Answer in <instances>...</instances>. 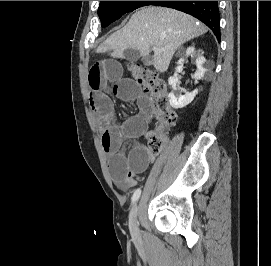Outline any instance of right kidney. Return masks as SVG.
I'll use <instances>...</instances> for the list:
<instances>
[{
	"label": "right kidney",
	"instance_id": "ca27d5eb",
	"mask_svg": "<svg viewBox=\"0 0 271 266\" xmlns=\"http://www.w3.org/2000/svg\"><path fill=\"white\" fill-rule=\"evenodd\" d=\"M189 56L194 57L196 59L197 70L194 74V78L195 81L197 82L198 80L204 77V74L207 71V69L204 68L206 59L201 55L200 52L195 51L194 46H190L185 50L184 55L179 59L178 64H182L184 60ZM168 82L173 89V91L168 95L169 103L175 109L183 108L190 104L194 100L196 94L198 93L197 89L190 93L186 92L184 95L177 93L176 92L177 84L179 82L177 72H175L174 75L169 78Z\"/></svg>",
	"mask_w": 271,
	"mask_h": 266
}]
</instances>
